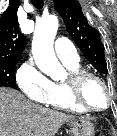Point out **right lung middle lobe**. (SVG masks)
Wrapping results in <instances>:
<instances>
[{
    "instance_id": "right-lung-middle-lobe-1",
    "label": "right lung middle lobe",
    "mask_w": 117,
    "mask_h": 136,
    "mask_svg": "<svg viewBox=\"0 0 117 136\" xmlns=\"http://www.w3.org/2000/svg\"><path fill=\"white\" fill-rule=\"evenodd\" d=\"M17 61H0V87L15 88L16 78L14 68Z\"/></svg>"
}]
</instances>
